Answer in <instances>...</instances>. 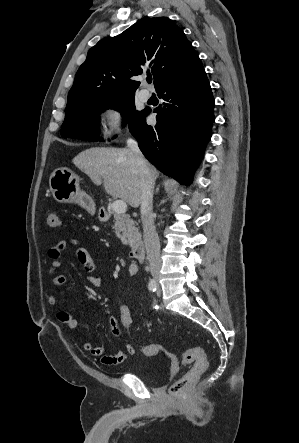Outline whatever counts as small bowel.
Here are the masks:
<instances>
[{"label":"small bowel","mask_w":299,"mask_h":443,"mask_svg":"<svg viewBox=\"0 0 299 443\" xmlns=\"http://www.w3.org/2000/svg\"><path fill=\"white\" fill-rule=\"evenodd\" d=\"M68 245L76 249L77 259L87 273L93 272L96 268L95 263L90 256L88 250L80 245L78 240L71 239L58 242L48 250V257L51 259L49 272L51 275L54 276L53 285L57 289H60L66 282L65 276L59 274V270L61 268V263L59 259L62 255V252ZM136 270V266L132 265L128 271L129 276H133L136 273ZM85 279L90 285L94 287H98L101 283V280L98 276L86 274ZM58 302V297L55 294L49 295L48 303L50 305L57 306ZM106 313L109 316V323L112 332L114 333V335L120 336L121 329L119 327L120 322L118 319V315H115L109 310H107ZM56 318L60 323L65 324L69 329H76L78 327L77 320L65 310H58L56 313ZM81 346L83 350L99 358L100 362L107 366L119 365L123 363L128 358V356H133L136 352L134 345L129 341H126L125 351H120L115 355H107L103 347L94 345L88 340H82Z\"/></svg>","instance_id":"small-bowel-1"}]
</instances>
